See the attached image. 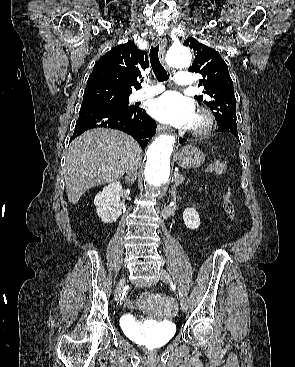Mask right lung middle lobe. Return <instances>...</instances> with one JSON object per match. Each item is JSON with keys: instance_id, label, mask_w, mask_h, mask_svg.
<instances>
[{"instance_id": "right-lung-middle-lobe-1", "label": "right lung middle lobe", "mask_w": 295, "mask_h": 367, "mask_svg": "<svg viewBox=\"0 0 295 367\" xmlns=\"http://www.w3.org/2000/svg\"><path fill=\"white\" fill-rule=\"evenodd\" d=\"M103 105L120 108L132 107L128 105V95H121L101 87L85 89L81 107Z\"/></svg>"}]
</instances>
